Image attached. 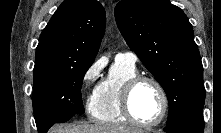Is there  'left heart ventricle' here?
Instances as JSON below:
<instances>
[{
  "label": "left heart ventricle",
  "instance_id": "b2bd125f",
  "mask_svg": "<svg viewBox=\"0 0 221 133\" xmlns=\"http://www.w3.org/2000/svg\"><path fill=\"white\" fill-rule=\"evenodd\" d=\"M131 107L139 120L143 122L156 120L162 109L161 97L156 87L150 82L140 83L133 92Z\"/></svg>",
  "mask_w": 221,
  "mask_h": 133
}]
</instances>
